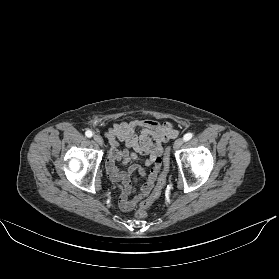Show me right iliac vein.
<instances>
[{"label":"right iliac vein","instance_id":"right-iliac-vein-1","mask_svg":"<svg viewBox=\"0 0 279 279\" xmlns=\"http://www.w3.org/2000/svg\"><path fill=\"white\" fill-rule=\"evenodd\" d=\"M93 139H94V141H95L97 144H99L100 146H103L104 143H103V139H102L101 136H99V135H94Z\"/></svg>","mask_w":279,"mask_h":279}]
</instances>
